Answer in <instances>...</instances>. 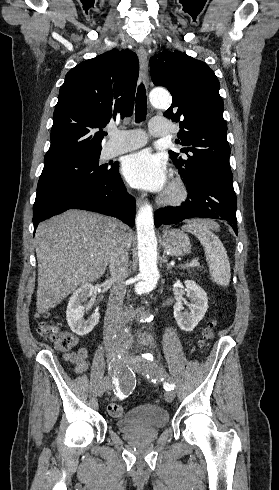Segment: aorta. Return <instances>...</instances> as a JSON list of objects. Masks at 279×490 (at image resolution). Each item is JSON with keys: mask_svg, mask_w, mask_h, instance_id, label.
Here are the masks:
<instances>
[{"mask_svg": "<svg viewBox=\"0 0 279 490\" xmlns=\"http://www.w3.org/2000/svg\"><path fill=\"white\" fill-rule=\"evenodd\" d=\"M150 102L157 108H168L172 99L167 91L153 90L150 94ZM139 277L140 281L135 285L138 294L152 291L158 282L159 271L157 268V240L154 231L153 209L151 205H144L136 217ZM130 316L127 310H123L120 324L112 330V338L118 342H125L130 338L128 322Z\"/></svg>", "mask_w": 279, "mask_h": 490, "instance_id": "obj_1", "label": "aorta"}]
</instances>
